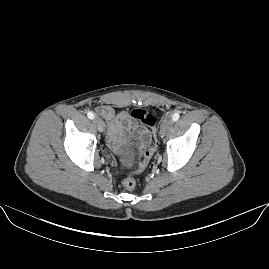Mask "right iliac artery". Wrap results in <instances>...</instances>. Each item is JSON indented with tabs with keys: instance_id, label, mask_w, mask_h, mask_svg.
<instances>
[{
	"instance_id": "82829eb1",
	"label": "right iliac artery",
	"mask_w": 269,
	"mask_h": 269,
	"mask_svg": "<svg viewBox=\"0 0 269 269\" xmlns=\"http://www.w3.org/2000/svg\"><path fill=\"white\" fill-rule=\"evenodd\" d=\"M87 116L89 119H94V114L92 112H89Z\"/></svg>"
}]
</instances>
